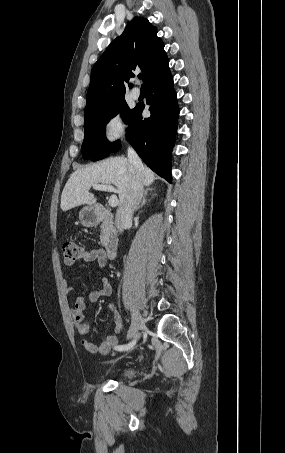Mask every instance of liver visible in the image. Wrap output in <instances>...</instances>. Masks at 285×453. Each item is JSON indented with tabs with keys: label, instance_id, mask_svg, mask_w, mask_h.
Returning <instances> with one entry per match:
<instances>
[{
	"label": "liver",
	"instance_id": "1",
	"mask_svg": "<svg viewBox=\"0 0 285 453\" xmlns=\"http://www.w3.org/2000/svg\"><path fill=\"white\" fill-rule=\"evenodd\" d=\"M132 178V168L127 158L111 157L102 162L77 169L70 175L61 194L60 207L68 211L74 207L96 204V198L89 192L94 184H113L119 193V205L124 201ZM143 185L150 186L155 174L143 166Z\"/></svg>",
	"mask_w": 285,
	"mask_h": 453
}]
</instances>
